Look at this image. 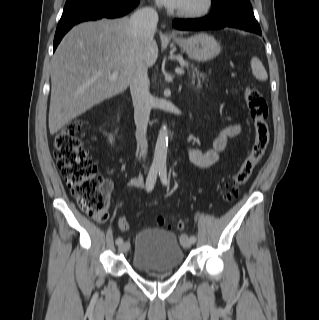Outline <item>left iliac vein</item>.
I'll use <instances>...</instances> for the list:
<instances>
[{"label":"left iliac vein","mask_w":319,"mask_h":320,"mask_svg":"<svg viewBox=\"0 0 319 320\" xmlns=\"http://www.w3.org/2000/svg\"><path fill=\"white\" fill-rule=\"evenodd\" d=\"M181 244L185 248H190L192 246V242L189 241V238L187 235H183L181 237Z\"/></svg>","instance_id":"left-iliac-vein-1"}]
</instances>
